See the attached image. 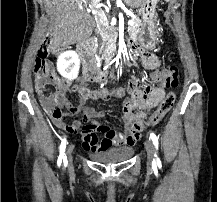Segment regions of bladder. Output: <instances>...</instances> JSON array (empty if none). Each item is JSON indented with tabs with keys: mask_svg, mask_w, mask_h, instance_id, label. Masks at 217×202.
<instances>
[{
	"mask_svg": "<svg viewBox=\"0 0 217 202\" xmlns=\"http://www.w3.org/2000/svg\"><path fill=\"white\" fill-rule=\"evenodd\" d=\"M133 154V148L126 149H110L103 150L96 153H91V157L97 160L113 163L123 161Z\"/></svg>",
	"mask_w": 217,
	"mask_h": 202,
	"instance_id": "bladder-1",
	"label": "bladder"
}]
</instances>
